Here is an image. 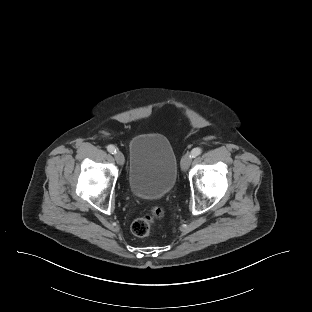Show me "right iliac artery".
<instances>
[{
	"mask_svg": "<svg viewBox=\"0 0 312 312\" xmlns=\"http://www.w3.org/2000/svg\"><path fill=\"white\" fill-rule=\"evenodd\" d=\"M107 150L108 152H110L111 154H115L116 153V148L113 145H108L107 146Z\"/></svg>",
	"mask_w": 312,
	"mask_h": 312,
	"instance_id": "82829eb1",
	"label": "right iliac artery"
}]
</instances>
